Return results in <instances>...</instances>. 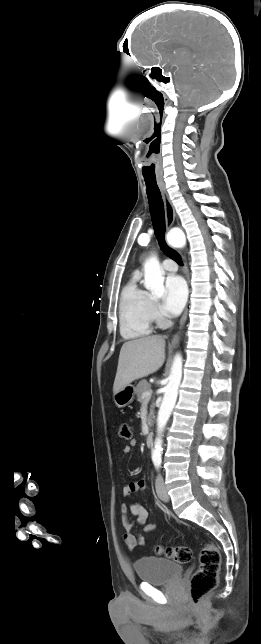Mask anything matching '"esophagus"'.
<instances>
[{"instance_id":"34e87169","label":"esophagus","mask_w":261,"mask_h":644,"mask_svg":"<svg viewBox=\"0 0 261 644\" xmlns=\"http://www.w3.org/2000/svg\"><path fill=\"white\" fill-rule=\"evenodd\" d=\"M158 186L161 191L162 199L164 202V208H165V219H166V227L167 229H170L172 225L174 224L175 220L177 219V214L175 212L174 206L169 198V195L166 191L165 185L162 181L158 182ZM184 272L187 278V281L189 282L190 279V274H189V268L186 262V259L184 260ZM187 315H188V305L186 306L184 313L181 317L180 320V325L181 327L184 326L186 320H187ZM181 336V332H178L177 334L174 335L172 339V345H175L179 342Z\"/></svg>"}]
</instances>
